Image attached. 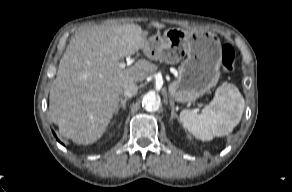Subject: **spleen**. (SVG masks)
Returning <instances> with one entry per match:
<instances>
[{
	"label": "spleen",
	"instance_id": "spleen-1",
	"mask_svg": "<svg viewBox=\"0 0 292 192\" xmlns=\"http://www.w3.org/2000/svg\"><path fill=\"white\" fill-rule=\"evenodd\" d=\"M245 101L238 88L226 84L217 88L213 100L198 114L193 110L180 112L183 127L202 141L229 135L241 120Z\"/></svg>",
	"mask_w": 292,
	"mask_h": 192
}]
</instances>
